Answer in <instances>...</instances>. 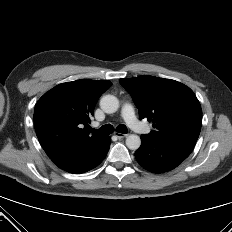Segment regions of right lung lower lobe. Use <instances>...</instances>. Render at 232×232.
Wrapping results in <instances>:
<instances>
[{
  "mask_svg": "<svg viewBox=\"0 0 232 232\" xmlns=\"http://www.w3.org/2000/svg\"><path fill=\"white\" fill-rule=\"evenodd\" d=\"M110 142L111 138L107 136L105 141L96 149L83 153L71 154L54 163L59 168L70 173L87 172L103 161L110 148Z\"/></svg>",
  "mask_w": 232,
  "mask_h": 232,
  "instance_id": "right-lung-lower-lobe-1",
  "label": "right lung lower lobe"
}]
</instances>
